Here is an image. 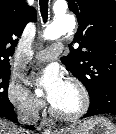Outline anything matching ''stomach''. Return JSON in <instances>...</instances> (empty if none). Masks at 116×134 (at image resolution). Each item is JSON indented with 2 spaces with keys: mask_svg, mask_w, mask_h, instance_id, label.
Masks as SVG:
<instances>
[{
  "mask_svg": "<svg viewBox=\"0 0 116 134\" xmlns=\"http://www.w3.org/2000/svg\"><path fill=\"white\" fill-rule=\"evenodd\" d=\"M62 134H116V128L106 118L93 117L76 127L67 128Z\"/></svg>",
  "mask_w": 116,
  "mask_h": 134,
  "instance_id": "1",
  "label": "stomach"
}]
</instances>
